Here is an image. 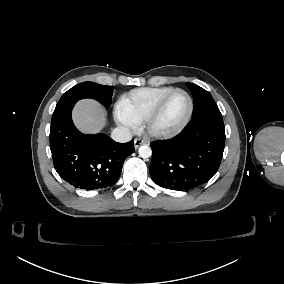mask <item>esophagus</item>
I'll use <instances>...</instances> for the list:
<instances>
[{"mask_svg": "<svg viewBox=\"0 0 284 284\" xmlns=\"http://www.w3.org/2000/svg\"><path fill=\"white\" fill-rule=\"evenodd\" d=\"M144 142H145V140L143 138H135L134 139V148L137 149Z\"/></svg>", "mask_w": 284, "mask_h": 284, "instance_id": "esophagus-1", "label": "esophagus"}]
</instances>
